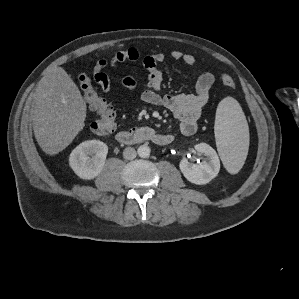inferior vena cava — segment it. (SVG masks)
I'll use <instances>...</instances> for the list:
<instances>
[{
    "label": "inferior vena cava",
    "instance_id": "602c4592",
    "mask_svg": "<svg viewBox=\"0 0 299 299\" xmlns=\"http://www.w3.org/2000/svg\"><path fill=\"white\" fill-rule=\"evenodd\" d=\"M137 153L136 150L133 147H127L123 151V157L126 160H132L136 157Z\"/></svg>",
    "mask_w": 299,
    "mask_h": 299
}]
</instances>
